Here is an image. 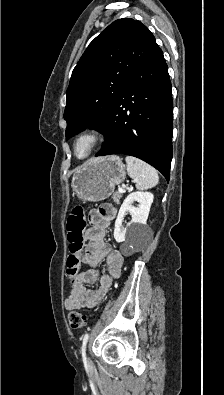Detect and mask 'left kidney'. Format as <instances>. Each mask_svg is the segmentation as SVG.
I'll list each match as a JSON object with an SVG mask.
<instances>
[{
	"label": "left kidney",
	"instance_id": "obj_1",
	"mask_svg": "<svg viewBox=\"0 0 224 395\" xmlns=\"http://www.w3.org/2000/svg\"><path fill=\"white\" fill-rule=\"evenodd\" d=\"M153 199L154 196L151 192L141 191L132 192L125 198L115 221L113 235L116 242H124L127 234L137 239L144 235L145 225ZM134 202H138L139 206L134 207L132 205ZM127 212L132 216V220L128 223L127 227H123L122 222Z\"/></svg>",
	"mask_w": 224,
	"mask_h": 395
}]
</instances>
